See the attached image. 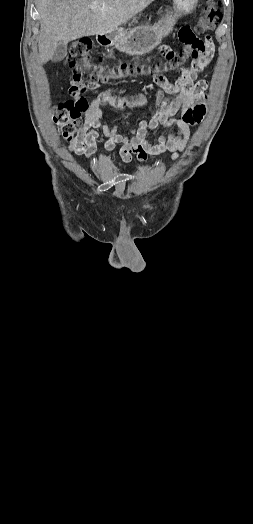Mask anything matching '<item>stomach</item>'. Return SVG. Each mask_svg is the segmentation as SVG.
<instances>
[{
	"instance_id": "stomach-1",
	"label": "stomach",
	"mask_w": 253,
	"mask_h": 524,
	"mask_svg": "<svg viewBox=\"0 0 253 524\" xmlns=\"http://www.w3.org/2000/svg\"><path fill=\"white\" fill-rule=\"evenodd\" d=\"M198 0H173V10L166 11L163 17L154 25H139L130 31L117 30L102 37L101 44L114 47L129 55H144L152 51L168 35L176 21L191 13Z\"/></svg>"
}]
</instances>
